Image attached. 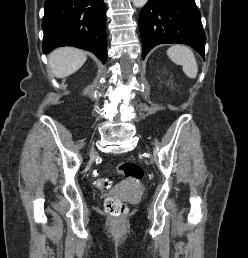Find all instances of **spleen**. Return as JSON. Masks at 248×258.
Masks as SVG:
<instances>
[{"instance_id": "obj_1", "label": "spleen", "mask_w": 248, "mask_h": 258, "mask_svg": "<svg viewBox=\"0 0 248 258\" xmlns=\"http://www.w3.org/2000/svg\"><path fill=\"white\" fill-rule=\"evenodd\" d=\"M168 57L176 64L182 65L183 72L191 79L198 73V65L191 49L184 45H174L167 50Z\"/></svg>"}]
</instances>
